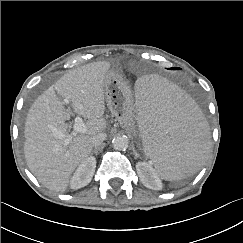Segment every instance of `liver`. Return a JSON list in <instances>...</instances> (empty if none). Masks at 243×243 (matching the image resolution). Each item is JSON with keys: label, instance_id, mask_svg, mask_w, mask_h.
<instances>
[{"label": "liver", "instance_id": "6515ba94", "mask_svg": "<svg viewBox=\"0 0 243 243\" xmlns=\"http://www.w3.org/2000/svg\"><path fill=\"white\" fill-rule=\"evenodd\" d=\"M109 62L90 63L63 75L33 103L25 122L24 153L27 166L46 188L65 192L73 171L89 158L91 138L105 131V82ZM68 99L85 119L86 132L69 143L54 135L55 128L67 135L70 112L60 98Z\"/></svg>", "mask_w": 243, "mask_h": 243}]
</instances>
